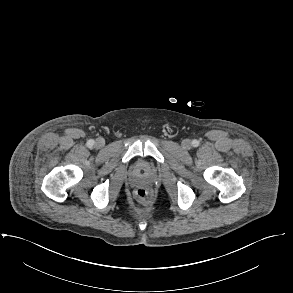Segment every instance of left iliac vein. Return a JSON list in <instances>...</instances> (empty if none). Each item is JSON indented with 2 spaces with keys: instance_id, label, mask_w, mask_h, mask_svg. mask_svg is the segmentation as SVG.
<instances>
[{
  "instance_id": "4c4485c4",
  "label": "left iliac vein",
  "mask_w": 293,
  "mask_h": 293,
  "mask_svg": "<svg viewBox=\"0 0 293 293\" xmlns=\"http://www.w3.org/2000/svg\"><path fill=\"white\" fill-rule=\"evenodd\" d=\"M191 141L189 139H185L183 140L182 142V146L185 148V149H189L191 147Z\"/></svg>"
}]
</instances>
